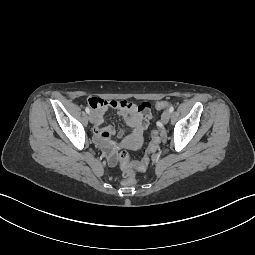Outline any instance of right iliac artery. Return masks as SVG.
Returning <instances> with one entry per match:
<instances>
[{"mask_svg": "<svg viewBox=\"0 0 255 255\" xmlns=\"http://www.w3.org/2000/svg\"><path fill=\"white\" fill-rule=\"evenodd\" d=\"M86 113H90V109L88 107L85 108Z\"/></svg>", "mask_w": 255, "mask_h": 255, "instance_id": "1", "label": "right iliac artery"}]
</instances>
